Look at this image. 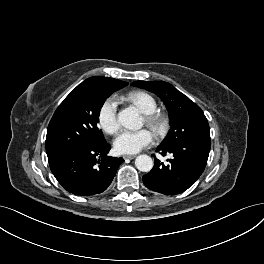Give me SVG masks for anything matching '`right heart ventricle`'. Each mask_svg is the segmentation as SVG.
Wrapping results in <instances>:
<instances>
[{
    "mask_svg": "<svg viewBox=\"0 0 264 264\" xmlns=\"http://www.w3.org/2000/svg\"><path fill=\"white\" fill-rule=\"evenodd\" d=\"M126 101L134 104L142 113H151L157 110L155 98L144 91H132L123 97Z\"/></svg>",
    "mask_w": 264,
    "mask_h": 264,
    "instance_id": "obj_1",
    "label": "right heart ventricle"
}]
</instances>
